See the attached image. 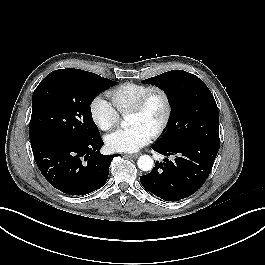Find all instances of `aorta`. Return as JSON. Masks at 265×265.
<instances>
[{
	"label": "aorta",
	"instance_id": "762f6f07",
	"mask_svg": "<svg viewBox=\"0 0 265 265\" xmlns=\"http://www.w3.org/2000/svg\"><path fill=\"white\" fill-rule=\"evenodd\" d=\"M127 123L125 121L121 122V126L125 127ZM154 161L149 155H142L138 158L137 165L142 171H150L153 168Z\"/></svg>",
	"mask_w": 265,
	"mask_h": 265
}]
</instances>
